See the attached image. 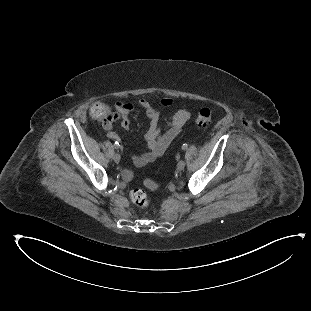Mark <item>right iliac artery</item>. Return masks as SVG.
Masks as SVG:
<instances>
[{"label": "right iliac artery", "instance_id": "right-iliac-artery-1", "mask_svg": "<svg viewBox=\"0 0 311 311\" xmlns=\"http://www.w3.org/2000/svg\"><path fill=\"white\" fill-rule=\"evenodd\" d=\"M119 147H120V144H119L118 141H116V142L114 143V148H115V149H118Z\"/></svg>", "mask_w": 311, "mask_h": 311}]
</instances>
